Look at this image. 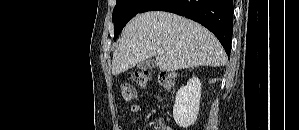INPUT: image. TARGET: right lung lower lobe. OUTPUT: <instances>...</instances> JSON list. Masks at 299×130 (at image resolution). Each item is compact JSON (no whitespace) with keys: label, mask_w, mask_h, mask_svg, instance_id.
I'll return each mask as SVG.
<instances>
[{"label":"right lung lower lobe","mask_w":299,"mask_h":130,"mask_svg":"<svg viewBox=\"0 0 299 130\" xmlns=\"http://www.w3.org/2000/svg\"><path fill=\"white\" fill-rule=\"evenodd\" d=\"M167 11L192 19L218 38L228 56L233 33V0H148L139 13Z\"/></svg>","instance_id":"1"}]
</instances>
